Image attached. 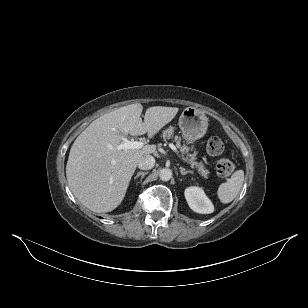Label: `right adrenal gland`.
Instances as JSON below:
<instances>
[{"label":"right adrenal gland","mask_w":308,"mask_h":308,"mask_svg":"<svg viewBox=\"0 0 308 308\" xmlns=\"http://www.w3.org/2000/svg\"><path fill=\"white\" fill-rule=\"evenodd\" d=\"M147 174V172H138L137 175L134 177V180H136L139 176H141V180L143 179V177Z\"/></svg>","instance_id":"obj_1"}]
</instances>
